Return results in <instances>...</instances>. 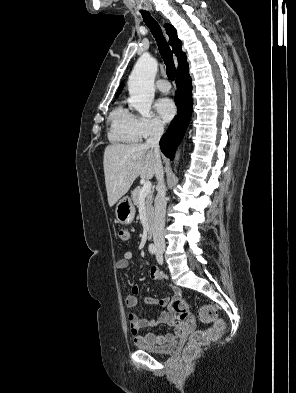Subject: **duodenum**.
I'll list each match as a JSON object with an SVG mask.
<instances>
[{"instance_id":"410a0bca","label":"duodenum","mask_w":296,"mask_h":393,"mask_svg":"<svg viewBox=\"0 0 296 393\" xmlns=\"http://www.w3.org/2000/svg\"><path fill=\"white\" fill-rule=\"evenodd\" d=\"M148 234H149L150 236H152V235L154 234V227H153L152 225L149 227Z\"/></svg>"}]
</instances>
